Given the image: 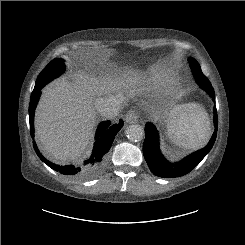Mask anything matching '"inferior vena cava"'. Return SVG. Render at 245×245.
<instances>
[{
    "label": "inferior vena cava",
    "instance_id": "1",
    "mask_svg": "<svg viewBox=\"0 0 245 245\" xmlns=\"http://www.w3.org/2000/svg\"><path fill=\"white\" fill-rule=\"evenodd\" d=\"M121 103L115 96H110L98 99L95 107L101 116L112 119L119 114Z\"/></svg>",
    "mask_w": 245,
    "mask_h": 245
}]
</instances>
